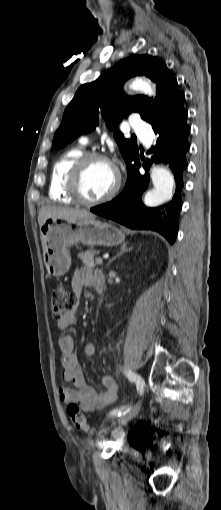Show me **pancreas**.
Here are the masks:
<instances>
[{
    "mask_svg": "<svg viewBox=\"0 0 221 510\" xmlns=\"http://www.w3.org/2000/svg\"><path fill=\"white\" fill-rule=\"evenodd\" d=\"M99 254V251L94 249H89L85 252L79 253L78 257L83 262V264L89 268H95L96 264L94 261L95 255Z\"/></svg>",
    "mask_w": 221,
    "mask_h": 510,
    "instance_id": "cf45deb5",
    "label": "pancreas"
}]
</instances>
